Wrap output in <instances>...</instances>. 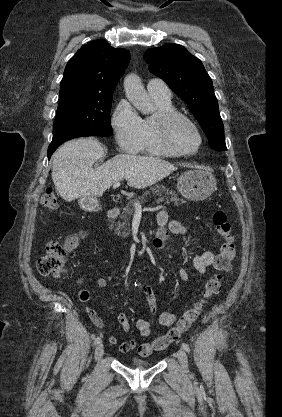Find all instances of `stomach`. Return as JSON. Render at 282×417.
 <instances>
[{
    "instance_id": "obj_1",
    "label": "stomach",
    "mask_w": 282,
    "mask_h": 417,
    "mask_svg": "<svg viewBox=\"0 0 282 417\" xmlns=\"http://www.w3.org/2000/svg\"><path fill=\"white\" fill-rule=\"evenodd\" d=\"M177 188L188 200H204L216 188V178L210 170H186L177 180Z\"/></svg>"
}]
</instances>
